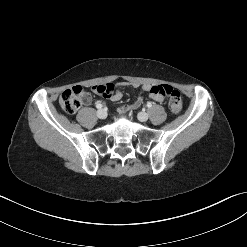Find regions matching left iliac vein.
<instances>
[{"label": "left iliac vein", "instance_id": "left-iliac-vein-1", "mask_svg": "<svg viewBox=\"0 0 247 247\" xmlns=\"http://www.w3.org/2000/svg\"><path fill=\"white\" fill-rule=\"evenodd\" d=\"M149 118V115L145 112H140L138 113V119L141 121V122H146Z\"/></svg>", "mask_w": 247, "mask_h": 247}]
</instances>
